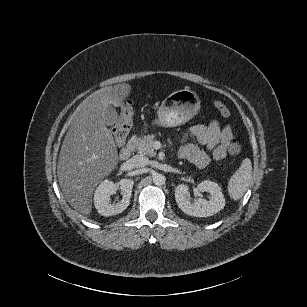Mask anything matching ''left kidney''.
Wrapping results in <instances>:
<instances>
[{"label": "left kidney", "mask_w": 307, "mask_h": 307, "mask_svg": "<svg viewBox=\"0 0 307 307\" xmlns=\"http://www.w3.org/2000/svg\"><path fill=\"white\" fill-rule=\"evenodd\" d=\"M197 188L201 192H208L210 194L209 201L199 198L191 203L188 186L181 184L175 189L176 202L185 214L195 217H207L224 208V195L217 183L205 180Z\"/></svg>", "instance_id": "left-kidney-1"}]
</instances>
